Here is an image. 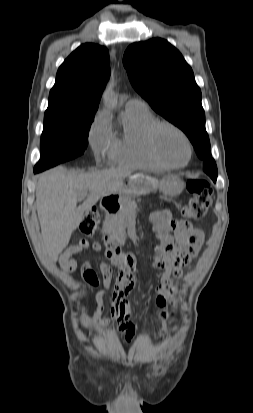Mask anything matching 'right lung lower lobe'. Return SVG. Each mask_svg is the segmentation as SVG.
<instances>
[{
    "mask_svg": "<svg viewBox=\"0 0 253 413\" xmlns=\"http://www.w3.org/2000/svg\"><path fill=\"white\" fill-rule=\"evenodd\" d=\"M35 173L41 172L40 170H34Z\"/></svg>",
    "mask_w": 253,
    "mask_h": 413,
    "instance_id": "right-lung-lower-lobe-1",
    "label": "right lung lower lobe"
}]
</instances>
